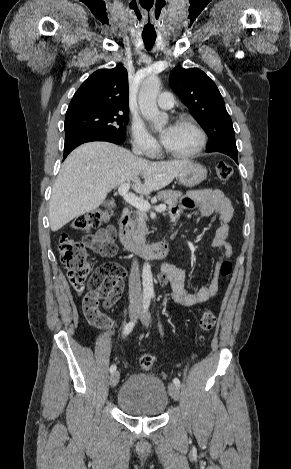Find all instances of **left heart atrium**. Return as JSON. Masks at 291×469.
Wrapping results in <instances>:
<instances>
[{"label":"left heart atrium","instance_id":"left-heart-atrium-1","mask_svg":"<svg viewBox=\"0 0 291 469\" xmlns=\"http://www.w3.org/2000/svg\"><path fill=\"white\" fill-rule=\"evenodd\" d=\"M173 126H168L161 134V141L165 143L171 135Z\"/></svg>","mask_w":291,"mask_h":469}]
</instances>
